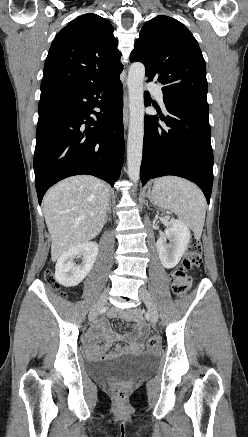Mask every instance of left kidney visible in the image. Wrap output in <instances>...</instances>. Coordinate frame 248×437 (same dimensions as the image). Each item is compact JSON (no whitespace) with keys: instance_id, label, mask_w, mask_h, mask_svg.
Returning <instances> with one entry per match:
<instances>
[{"instance_id":"obj_1","label":"left kidney","mask_w":248,"mask_h":437,"mask_svg":"<svg viewBox=\"0 0 248 437\" xmlns=\"http://www.w3.org/2000/svg\"><path fill=\"white\" fill-rule=\"evenodd\" d=\"M168 239L169 243H167ZM189 241V228L180 220H174L156 243L161 264L167 269L175 267L183 256Z\"/></svg>"}]
</instances>
